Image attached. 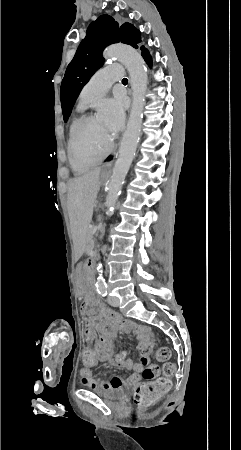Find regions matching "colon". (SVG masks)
<instances>
[{
	"label": "colon",
	"mask_w": 241,
	"mask_h": 450,
	"mask_svg": "<svg viewBox=\"0 0 241 450\" xmlns=\"http://www.w3.org/2000/svg\"><path fill=\"white\" fill-rule=\"evenodd\" d=\"M170 356V351L166 347H160L156 350V357L158 360H167ZM80 357L83 359L84 366H98V357H94L92 350H81ZM175 369V363L172 360L167 361L164 365V370L167 375H172ZM159 374V368L156 364H150L143 370V377L147 381L154 380ZM168 390V381L166 379H159L138 387L134 391L133 405L138 410H147L161 398L162 394Z\"/></svg>",
	"instance_id": "5ec220e1"
}]
</instances>
